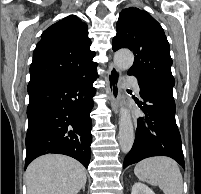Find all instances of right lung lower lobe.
Returning a JSON list of instances; mask_svg holds the SVG:
<instances>
[{
	"mask_svg": "<svg viewBox=\"0 0 201 194\" xmlns=\"http://www.w3.org/2000/svg\"><path fill=\"white\" fill-rule=\"evenodd\" d=\"M93 72L70 81L45 80L28 84L27 165L38 156L58 153L71 156L86 168L91 157L89 116L96 89Z\"/></svg>",
	"mask_w": 201,
	"mask_h": 194,
	"instance_id": "obj_1",
	"label": "right lung lower lobe"
}]
</instances>
